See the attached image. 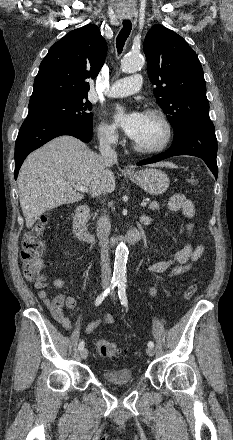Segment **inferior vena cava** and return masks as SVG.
Instances as JSON below:
<instances>
[{"label":"inferior vena cava","mask_w":233,"mask_h":440,"mask_svg":"<svg viewBox=\"0 0 233 440\" xmlns=\"http://www.w3.org/2000/svg\"><path fill=\"white\" fill-rule=\"evenodd\" d=\"M110 138L103 137L100 141V154L109 164L117 163V153L111 148ZM106 212V211H104ZM111 223L109 216L104 213L97 221V237L101 246V277L103 284H109L111 281V266L109 258V234Z\"/></svg>","instance_id":"1"}]
</instances>
